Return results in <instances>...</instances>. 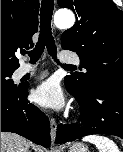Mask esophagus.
<instances>
[{
  "label": "esophagus",
  "instance_id": "1",
  "mask_svg": "<svg viewBox=\"0 0 123 152\" xmlns=\"http://www.w3.org/2000/svg\"><path fill=\"white\" fill-rule=\"evenodd\" d=\"M50 129H51L50 131L51 140L54 143L55 138H56V132H57V123L54 118L50 119Z\"/></svg>",
  "mask_w": 123,
  "mask_h": 152
}]
</instances>
